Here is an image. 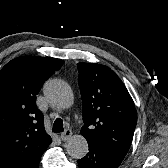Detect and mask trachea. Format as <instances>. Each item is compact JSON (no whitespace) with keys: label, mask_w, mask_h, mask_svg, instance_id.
<instances>
[{"label":"trachea","mask_w":168,"mask_h":168,"mask_svg":"<svg viewBox=\"0 0 168 168\" xmlns=\"http://www.w3.org/2000/svg\"><path fill=\"white\" fill-rule=\"evenodd\" d=\"M63 130H64L63 121H62L61 118H57V119L54 121L52 131L55 132V133H59V132H63Z\"/></svg>","instance_id":"obj_1"}]
</instances>
